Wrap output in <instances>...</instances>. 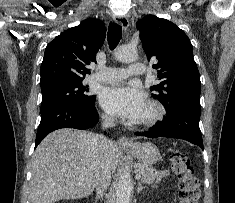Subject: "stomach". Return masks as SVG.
<instances>
[{
	"mask_svg": "<svg viewBox=\"0 0 235 203\" xmlns=\"http://www.w3.org/2000/svg\"><path fill=\"white\" fill-rule=\"evenodd\" d=\"M123 150L134 155L143 165L152 166L161 158L158 148L150 142L135 143L132 148H123Z\"/></svg>",
	"mask_w": 235,
	"mask_h": 203,
	"instance_id": "0dacf381",
	"label": "stomach"
}]
</instances>
